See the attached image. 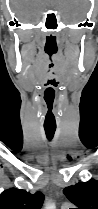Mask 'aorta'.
<instances>
[{"label":"aorta","instance_id":"obj_1","mask_svg":"<svg viewBox=\"0 0 98 209\" xmlns=\"http://www.w3.org/2000/svg\"><path fill=\"white\" fill-rule=\"evenodd\" d=\"M45 209H56V206L54 203L48 201L45 203Z\"/></svg>","mask_w":98,"mask_h":209}]
</instances>
